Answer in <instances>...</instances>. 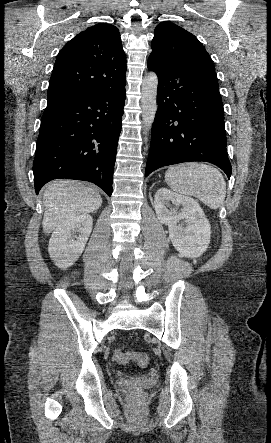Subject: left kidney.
<instances>
[{"label":"left kidney","instance_id":"5707ae66","mask_svg":"<svg viewBox=\"0 0 271 443\" xmlns=\"http://www.w3.org/2000/svg\"><path fill=\"white\" fill-rule=\"evenodd\" d=\"M179 206H182L181 210ZM154 208L158 220L167 223L169 237L180 255L200 257L206 251L210 243L211 225L196 200L160 188L155 194ZM180 220L183 223H179Z\"/></svg>","mask_w":271,"mask_h":443}]
</instances>
